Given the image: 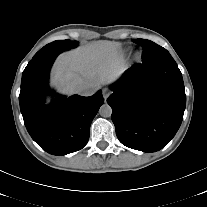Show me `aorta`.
Instances as JSON below:
<instances>
[{
    "instance_id": "obj_1",
    "label": "aorta",
    "mask_w": 207,
    "mask_h": 207,
    "mask_svg": "<svg viewBox=\"0 0 207 207\" xmlns=\"http://www.w3.org/2000/svg\"><path fill=\"white\" fill-rule=\"evenodd\" d=\"M99 114L102 117H110L112 114V108L109 104H103L99 109Z\"/></svg>"
}]
</instances>
